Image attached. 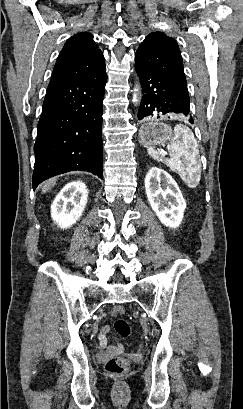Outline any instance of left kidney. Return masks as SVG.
<instances>
[{
	"instance_id": "5707ae66",
	"label": "left kidney",
	"mask_w": 243,
	"mask_h": 409,
	"mask_svg": "<svg viewBox=\"0 0 243 409\" xmlns=\"http://www.w3.org/2000/svg\"><path fill=\"white\" fill-rule=\"evenodd\" d=\"M145 190L150 206L161 223L169 228L178 227L186 202L172 176L163 169L152 167L145 177Z\"/></svg>"
}]
</instances>
